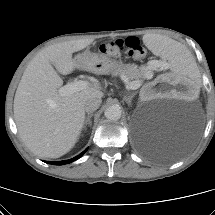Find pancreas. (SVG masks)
Masks as SVG:
<instances>
[{
  "mask_svg": "<svg viewBox=\"0 0 215 215\" xmlns=\"http://www.w3.org/2000/svg\"><path fill=\"white\" fill-rule=\"evenodd\" d=\"M148 70H154V67H146L141 66L139 68L132 66V65H123L122 67L115 70L112 74L113 75H120L125 77L128 81L131 82H140L142 79H146L151 73Z\"/></svg>",
  "mask_w": 215,
  "mask_h": 215,
  "instance_id": "pancreas-1",
  "label": "pancreas"
}]
</instances>
